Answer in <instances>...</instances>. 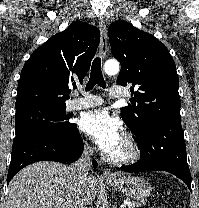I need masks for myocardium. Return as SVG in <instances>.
I'll use <instances>...</instances> for the list:
<instances>
[{
	"instance_id": "f54148a6",
	"label": "myocardium",
	"mask_w": 199,
	"mask_h": 208,
	"mask_svg": "<svg viewBox=\"0 0 199 208\" xmlns=\"http://www.w3.org/2000/svg\"><path fill=\"white\" fill-rule=\"evenodd\" d=\"M123 141L128 147L129 153L123 157H114L108 155L107 161L109 163L117 166H126L133 164L140 159L142 151L138 141L131 134H125L123 137Z\"/></svg>"
}]
</instances>
